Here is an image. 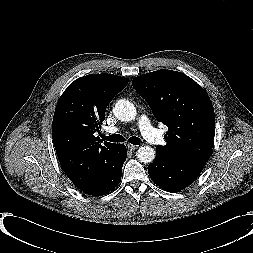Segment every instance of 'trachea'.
I'll return each instance as SVG.
<instances>
[{"mask_svg":"<svg viewBox=\"0 0 253 253\" xmlns=\"http://www.w3.org/2000/svg\"><path fill=\"white\" fill-rule=\"evenodd\" d=\"M102 139L103 140H107V141H110V142H124L126 141V139L121 136L120 134H112V135H109V136H104V135H101ZM128 142L133 144V145H139L140 144V139L138 137H135V136H132L128 139Z\"/></svg>","mask_w":253,"mask_h":253,"instance_id":"trachea-1","label":"trachea"}]
</instances>
